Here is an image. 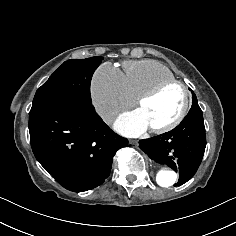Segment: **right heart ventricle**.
Segmentation results:
<instances>
[{"label": "right heart ventricle", "mask_w": 236, "mask_h": 236, "mask_svg": "<svg viewBox=\"0 0 236 236\" xmlns=\"http://www.w3.org/2000/svg\"><path fill=\"white\" fill-rule=\"evenodd\" d=\"M123 70L131 98H138L163 80L176 78L168 66L155 60H128L123 62Z\"/></svg>", "instance_id": "obj_1"}]
</instances>
